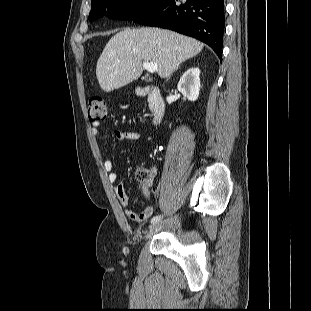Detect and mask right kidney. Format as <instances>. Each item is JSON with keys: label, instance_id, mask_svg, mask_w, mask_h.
Instances as JSON below:
<instances>
[{"label": "right kidney", "instance_id": "ca27d5eb", "mask_svg": "<svg viewBox=\"0 0 311 311\" xmlns=\"http://www.w3.org/2000/svg\"><path fill=\"white\" fill-rule=\"evenodd\" d=\"M177 89L188 100L196 101L200 91V69H188L180 78Z\"/></svg>", "mask_w": 311, "mask_h": 311}]
</instances>
